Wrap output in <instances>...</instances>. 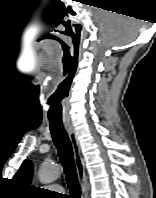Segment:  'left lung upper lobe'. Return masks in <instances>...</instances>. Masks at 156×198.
<instances>
[{
  "mask_svg": "<svg viewBox=\"0 0 156 198\" xmlns=\"http://www.w3.org/2000/svg\"><path fill=\"white\" fill-rule=\"evenodd\" d=\"M32 174L33 164L30 160H25L13 179L21 184L29 185L32 180Z\"/></svg>",
  "mask_w": 156,
  "mask_h": 198,
  "instance_id": "obj_1",
  "label": "left lung upper lobe"
}]
</instances>
